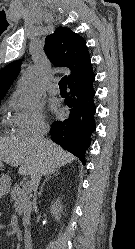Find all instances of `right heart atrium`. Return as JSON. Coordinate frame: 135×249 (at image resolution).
<instances>
[{"label": "right heart atrium", "instance_id": "1", "mask_svg": "<svg viewBox=\"0 0 135 249\" xmlns=\"http://www.w3.org/2000/svg\"><path fill=\"white\" fill-rule=\"evenodd\" d=\"M10 107L14 111L11 125L21 136L42 134L47 130V123L42 108L37 104H24L16 96L10 100Z\"/></svg>", "mask_w": 135, "mask_h": 249}]
</instances>
